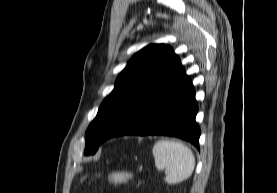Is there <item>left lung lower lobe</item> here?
<instances>
[{
	"mask_svg": "<svg viewBox=\"0 0 277 193\" xmlns=\"http://www.w3.org/2000/svg\"><path fill=\"white\" fill-rule=\"evenodd\" d=\"M197 112L192 81L182 68L134 102L108 130L103 142L122 135H167L199 148Z\"/></svg>",
	"mask_w": 277,
	"mask_h": 193,
	"instance_id": "obj_1",
	"label": "left lung lower lobe"
}]
</instances>
